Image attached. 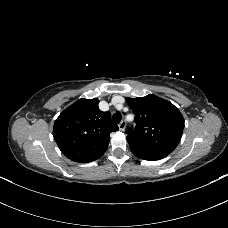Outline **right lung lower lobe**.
I'll list each match as a JSON object with an SVG mask.
<instances>
[{
    "mask_svg": "<svg viewBox=\"0 0 228 228\" xmlns=\"http://www.w3.org/2000/svg\"><path fill=\"white\" fill-rule=\"evenodd\" d=\"M103 155V154H102ZM102 155H99V156H97V157H95V158H93V159H90V160H88V161H85V162H83V163H87V162H91V161H94V160H96V159H98L100 156H102Z\"/></svg>",
    "mask_w": 228,
    "mask_h": 228,
    "instance_id": "98d812e1",
    "label": "right lung lower lobe"
}]
</instances>
